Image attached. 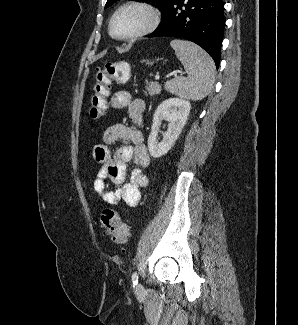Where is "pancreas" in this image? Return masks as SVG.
I'll return each instance as SVG.
<instances>
[{"label": "pancreas", "mask_w": 298, "mask_h": 325, "mask_svg": "<svg viewBox=\"0 0 298 325\" xmlns=\"http://www.w3.org/2000/svg\"><path fill=\"white\" fill-rule=\"evenodd\" d=\"M161 90L162 84L159 82H146L143 92L145 96H153V94H160Z\"/></svg>", "instance_id": "pancreas-1"}]
</instances>
